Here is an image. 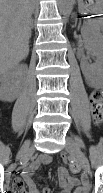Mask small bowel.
<instances>
[{
	"label": "small bowel",
	"instance_id": "small-bowel-1",
	"mask_svg": "<svg viewBox=\"0 0 103 193\" xmlns=\"http://www.w3.org/2000/svg\"><path fill=\"white\" fill-rule=\"evenodd\" d=\"M50 162L48 155H41L34 161L28 164V166L21 172V177H17L13 180L12 193H52V190L48 187L41 190L33 179V173L38 170L42 164ZM59 184L62 188L60 193H87L89 190V182L86 176H83L81 180L70 177L66 169L61 168L58 171ZM24 182L28 186V192L24 190Z\"/></svg>",
	"mask_w": 103,
	"mask_h": 193
}]
</instances>
